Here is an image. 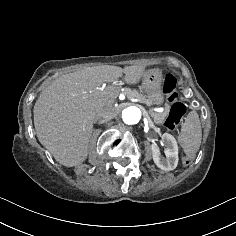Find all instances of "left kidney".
<instances>
[{
  "label": "left kidney",
  "mask_w": 236,
  "mask_h": 236,
  "mask_svg": "<svg viewBox=\"0 0 236 236\" xmlns=\"http://www.w3.org/2000/svg\"><path fill=\"white\" fill-rule=\"evenodd\" d=\"M162 140L165 145L164 153L166 157H163L160 153V149L156 143L151 145L154 163L162 170H174L178 164V145L175 138L169 134L164 133Z\"/></svg>",
  "instance_id": "obj_1"
}]
</instances>
